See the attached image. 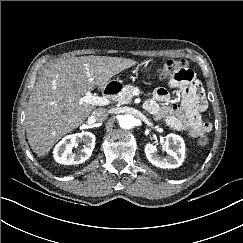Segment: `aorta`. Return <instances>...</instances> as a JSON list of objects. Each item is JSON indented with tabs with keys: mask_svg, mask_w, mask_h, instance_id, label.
<instances>
[{
	"mask_svg": "<svg viewBox=\"0 0 243 243\" xmlns=\"http://www.w3.org/2000/svg\"><path fill=\"white\" fill-rule=\"evenodd\" d=\"M119 125L123 129H131L135 125V118L131 114H125L119 118Z\"/></svg>",
	"mask_w": 243,
	"mask_h": 243,
	"instance_id": "1",
	"label": "aorta"
}]
</instances>
